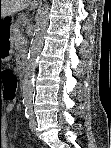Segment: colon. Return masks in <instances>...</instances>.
I'll return each mask as SVG.
<instances>
[{"label": "colon", "instance_id": "5ec220e1", "mask_svg": "<svg viewBox=\"0 0 111 148\" xmlns=\"http://www.w3.org/2000/svg\"><path fill=\"white\" fill-rule=\"evenodd\" d=\"M0 86H2L3 98L14 101L17 97L18 80L14 73L8 70L0 71Z\"/></svg>", "mask_w": 111, "mask_h": 148}]
</instances>
